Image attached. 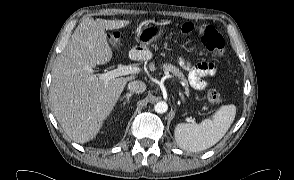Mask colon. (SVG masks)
I'll use <instances>...</instances> for the list:
<instances>
[{"mask_svg":"<svg viewBox=\"0 0 294 180\" xmlns=\"http://www.w3.org/2000/svg\"><path fill=\"white\" fill-rule=\"evenodd\" d=\"M202 38L206 42L208 48L217 58L226 57V50L223 39L216 33V31L208 26L202 31ZM206 99L209 102H216L218 99V92L212 88L206 93Z\"/></svg>","mask_w":294,"mask_h":180,"instance_id":"1","label":"colon"}]
</instances>
